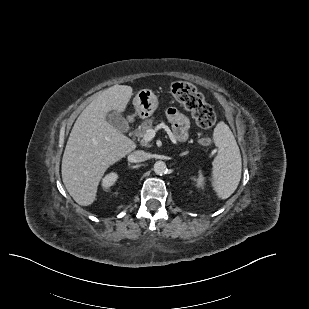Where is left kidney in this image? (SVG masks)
<instances>
[{"label": "left kidney", "instance_id": "5707ae66", "mask_svg": "<svg viewBox=\"0 0 309 309\" xmlns=\"http://www.w3.org/2000/svg\"><path fill=\"white\" fill-rule=\"evenodd\" d=\"M194 181H196L197 183V187H203V184H204V177L202 174H200L198 176V178H194Z\"/></svg>", "mask_w": 309, "mask_h": 309}]
</instances>
